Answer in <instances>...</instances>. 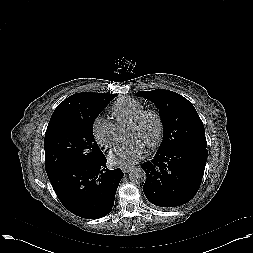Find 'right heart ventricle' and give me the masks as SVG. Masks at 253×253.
Returning a JSON list of instances; mask_svg holds the SVG:
<instances>
[{
    "instance_id": "1",
    "label": "right heart ventricle",
    "mask_w": 253,
    "mask_h": 253,
    "mask_svg": "<svg viewBox=\"0 0 253 253\" xmlns=\"http://www.w3.org/2000/svg\"><path fill=\"white\" fill-rule=\"evenodd\" d=\"M145 108L144 104L136 99L124 97L118 99L111 107V115L117 124H128Z\"/></svg>"
}]
</instances>
